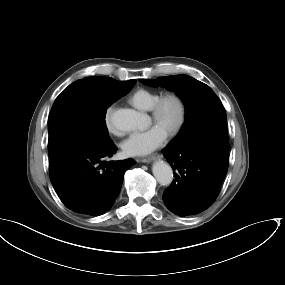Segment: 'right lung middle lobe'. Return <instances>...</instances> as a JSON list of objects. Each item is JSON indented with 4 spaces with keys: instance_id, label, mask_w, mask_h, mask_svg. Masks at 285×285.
<instances>
[{
    "instance_id": "dd1d6c3e",
    "label": "right lung middle lobe",
    "mask_w": 285,
    "mask_h": 285,
    "mask_svg": "<svg viewBox=\"0 0 285 285\" xmlns=\"http://www.w3.org/2000/svg\"><path fill=\"white\" fill-rule=\"evenodd\" d=\"M134 84L94 76L77 80L62 91L48 118L49 159L75 146L110 142L106 110Z\"/></svg>"
}]
</instances>
